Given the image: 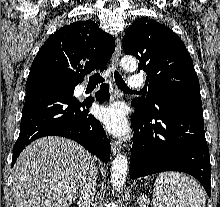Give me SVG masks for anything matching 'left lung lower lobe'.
I'll return each instance as SVG.
<instances>
[{"label":"left lung lower lobe","mask_w":220,"mask_h":207,"mask_svg":"<svg viewBox=\"0 0 220 207\" xmlns=\"http://www.w3.org/2000/svg\"><path fill=\"white\" fill-rule=\"evenodd\" d=\"M134 107L130 177L136 179L164 171L185 172L199 180L210 196L211 165L200 92L165 95L153 113Z\"/></svg>","instance_id":"0a47b994"}]
</instances>
